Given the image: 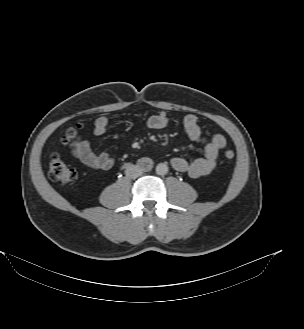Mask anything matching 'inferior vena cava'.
Instances as JSON below:
<instances>
[{
    "mask_svg": "<svg viewBox=\"0 0 304 329\" xmlns=\"http://www.w3.org/2000/svg\"><path fill=\"white\" fill-rule=\"evenodd\" d=\"M125 173L129 178H136L143 173V170L137 165H130L127 167Z\"/></svg>",
    "mask_w": 304,
    "mask_h": 329,
    "instance_id": "602c4592",
    "label": "inferior vena cava"
}]
</instances>
